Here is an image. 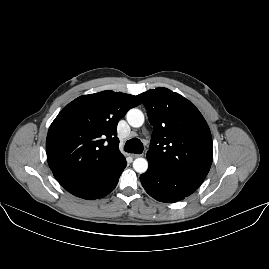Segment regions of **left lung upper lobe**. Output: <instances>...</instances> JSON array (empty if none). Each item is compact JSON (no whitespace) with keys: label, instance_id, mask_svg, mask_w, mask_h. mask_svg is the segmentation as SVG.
Listing matches in <instances>:
<instances>
[{"label":"left lung upper lobe","instance_id":"1","mask_svg":"<svg viewBox=\"0 0 269 269\" xmlns=\"http://www.w3.org/2000/svg\"><path fill=\"white\" fill-rule=\"evenodd\" d=\"M154 127L149 164L205 178L213 158L210 129L199 110L186 98L166 88L137 96Z\"/></svg>","mask_w":269,"mask_h":269}]
</instances>
